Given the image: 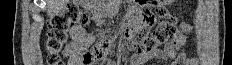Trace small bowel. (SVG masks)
<instances>
[{
  "label": "small bowel",
  "mask_w": 232,
  "mask_h": 65,
  "mask_svg": "<svg viewBox=\"0 0 232 65\" xmlns=\"http://www.w3.org/2000/svg\"><path fill=\"white\" fill-rule=\"evenodd\" d=\"M119 17H142V23H128V28H134L131 32H107V37H114L115 40H126L125 47H137V43L141 38H145V34H149L150 28L153 27V12H119ZM190 27L187 24H181L180 28L165 45L163 49L153 50L140 53L133 57L131 65L145 64L148 60L158 58L165 63L172 61V65H196L197 59L188 57L185 53H179L181 48L186 44L187 33ZM72 42L66 47V55L68 56V65H82L80 53L88 48L93 42V37L87 35L81 26H76L71 30ZM108 65H114L108 63Z\"/></svg>",
  "instance_id": "1"
}]
</instances>
